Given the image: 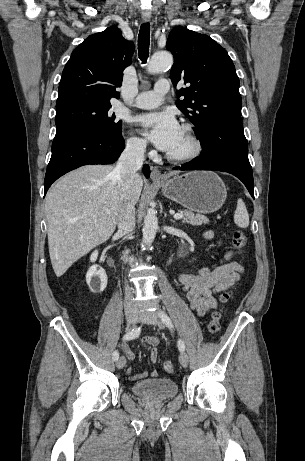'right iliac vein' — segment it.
<instances>
[{"label":"right iliac vein","mask_w":305,"mask_h":461,"mask_svg":"<svg viewBox=\"0 0 305 461\" xmlns=\"http://www.w3.org/2000/svg\"><path fill=\"white\" fill-rule=\"evenodd\" d=\"M125 318H126V322H127L128 327L131 328L138 321V314H137V312L135 311L134 308L130 307V308L126 309V311H125ZM125 364H126V359H125L124 356H121L116 361V367L118 369L124 368Z\"/></svg>","instance_id":"63e3f726"}]
</instances>
